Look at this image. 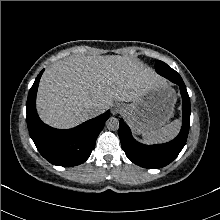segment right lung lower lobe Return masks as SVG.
Segmentation results:
<instances>
[{"instance_id": "98d812e1", "label": "right lung lower lobe", "mask_w": 220, "mask_h": 220, "mask_svg": "<svg viewBox=\"0 0 220 220\" xmlns=\"http://www.w3.org/2000/svg\"><path fill=\"white\" fill-rule=\"evenodd\" d=\"M43 71L28 94L26 108L29 134L40 154L50 163L63 167L79 165L89 158L110 111L68 130L44 124L36 112V93Z\"/></svg>"}]
</instances>
